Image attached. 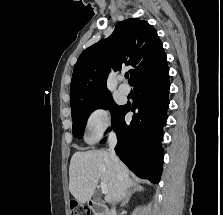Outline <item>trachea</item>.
Listing matches in <instances>:
<instances>
[{
    "instance_id": "1",
    "label": "trachea",
    "mask_w": 223,
    "mask_h": 215,
    "mask_svg": "<svg viewBox=\"0 0 223 215\" xmlns=\"http://www.w3.org/2000/svg\"><path fill=\"white\" fill-rule=\"evenodd\" d=\"M125 78H129V75H125Z\"/></svg>"
}]
</instances>
